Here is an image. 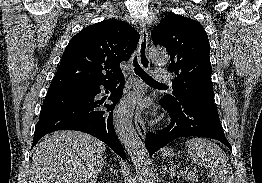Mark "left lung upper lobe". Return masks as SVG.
<instances>
[{"label": "left lung upper lobe", "instance_id": "1", "mask_svg": "<svg viewBox=\"0 0 262 183\" xmlns=\"http://www.w3.org/2000/svg\"><path fill=\"white\" fill-rule=\"evenodd\" d=\"M152 40L166 48L171 60L168 71L176 75L172 94L161 100L170 105L214 104L210 45L202 25L181 15L168 14L153 29Z\"/></svg>", "mask_w": 262, "mask_h": 183}]
</instances>
